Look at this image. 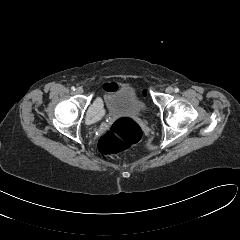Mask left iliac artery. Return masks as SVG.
<instances>
[{"label":"left iliac artery","instance_id":"left-iliac-artery-1","mask_svg":"<svg viewBox=\"0 0 240 240\" xmlns=\"http://www.w3.org/2000/svg\"><path fill=\"white\" fill-rule=\"evenodd\" d=\"M174 91H175V93H178V92H179V88L176 87V88L174 89Z\"/></svg>","mask_w":240,"mask_h":240}]
</instances>
